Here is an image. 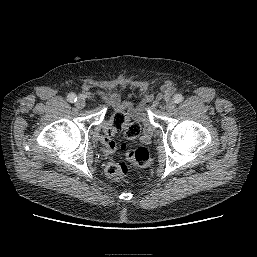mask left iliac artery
Segmentation results:
<instances>
[{"mask_svg": "<svg viewBox=\"0 0 257 257\" xmlns=\"http://www.w3.org/2000/svg\"><path fill=\"white\" fill-rule=\"evenodd\" d=\"M173 99H174V102L178 104L183 101L184 97L181 94H176Z\"/></svg>", "mask_w": 257, "mask_h": 257, "instance_id": "left-iliac-artery-1", "label": "left iliac artery"}]
</instances>
